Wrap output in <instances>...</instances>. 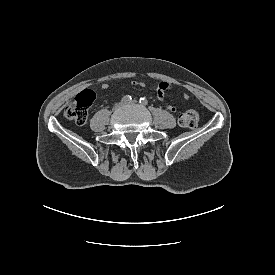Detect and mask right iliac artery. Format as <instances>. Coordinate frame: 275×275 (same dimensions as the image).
<instances>
[{
    "instance_id": "obj_1",
    "label": "right iliac artery",
    "mask_w": 275,
    "mask_h": 275,
    "mask_svg": "<svg viewBox=\"0 0 275 275\" xmlns=\"http://www.w3.org/2000/svg\"><path fill=\"white\" fill-rule=\"evenodd\" d=\"M132 100L131 96L126 95L122 98V103H129Z\"/></svg>"
}]
</instances>
